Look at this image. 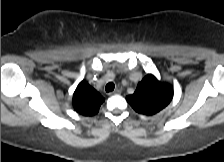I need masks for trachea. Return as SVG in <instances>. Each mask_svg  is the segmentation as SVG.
Returning <instances> with one entry per match:
<instances>
[{
	"label": "trachea",
	"instance_id": "1",
	"mask_svg": "<svg viewBox=\"0 0 224 162\" xmlns=\"http://www.w3.org/2000/svg\"><path fill=\"white\" fill-rule=\"evenodd\" d=\"M115 88V85L113 82H109L106 86H105V90L106 92H112Z\"/></svg>",
	"mask_w": 224,
	"mask_h": 162
}]
</instances>
